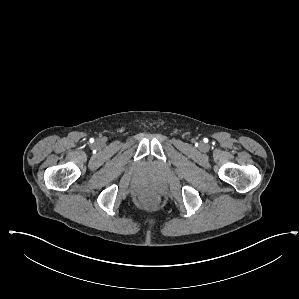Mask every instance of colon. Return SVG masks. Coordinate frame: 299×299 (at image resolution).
I'll use <instances>...</instances> for the list:
<instances>
[{
    "instance_id": "5ec220e1",
    "label": "colon",
    "mask_w": 299,
    "mask_h": 299,
    "mask_svg": "<svg viewBox=\"0 0 299 299\" xmlns=\"http://www.w3.org/2000/svg\"><path fill=\"white\" fill-rule=\"evenodd\" d=\"M145 202L149 205H156L157 197L156 196H148V197H146Z\"/></svg>"
}]
</instances>
